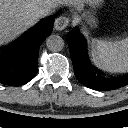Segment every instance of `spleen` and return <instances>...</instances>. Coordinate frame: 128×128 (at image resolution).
<instances>
[{
	"label": "spleen",
	"mask_w": 128,
	"mask_h": 128,
	"mask_svg": "<svg viewBox=\"0 0 128 128\" xmlns=\"http://www.w3.org/2000/svg\"><path fill=\"white\" fill-rule=\"evenodd\" d=\"M92 54L100 69L110 73L128 72V37L113 42L95 39Z\"/></svg>",
	"instance_id": "1"
}]
</instances>
